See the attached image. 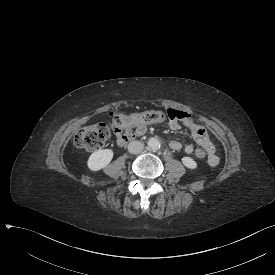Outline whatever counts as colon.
<instances>
[{"mask_svg":"<svg viewBox=\"0 0 275 275\" xmlns=\"http://www.w3.org/2000/svg\"><path fill=\"white\" fill-rule=\"evenodd\" d=\"M110 127L114 131H122L126 126L140 123H163L167 122L164 111L138 112L136 114L118 115L112 112L109 115ZM105 123H96L82 128L75 137L76 146L85 150H99L111 137V129ZM198 158H204L206 152L202 148L195 150Z\"/></svg>","mask_w":275,"mask_h":275,"instance_id":"obj_1","label":"colon"}]
</instances>
